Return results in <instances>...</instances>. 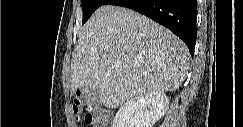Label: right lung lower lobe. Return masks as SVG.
Here are the masks:
<instances>
[{
	"label": "right lung lower lobe",
	"instance_id": "98d812e1",
	"mask_svg": "<svg viewBox=\"0 0 243 127\" xmlns=\"http://www.w3.org/2000/svg\"><path fill=\"white\" fill-rule=\"evenodd\" d=\"M103 5L133 9L170 29L193 56L196 44L197 0H106Z\"/></svg>",
	"mask_w": 243,
	"mask_h": 127
}]
</instances>
